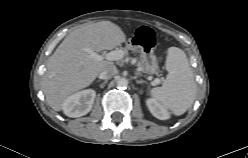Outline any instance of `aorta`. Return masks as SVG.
Returning a JSON list of instances; mask_svg holds the SVG:
<instances>
[{
    "mask_svg": "<svg viewBox=\"0 0 248 158\" xmlns=\"http://www.w3.org/2000/svg\"><path fill=\"white\" fill-rule=\"evenodd\" d=\"M128 85V80L126 79V78H119L118 80H117V86L119 87V88H124V87H126Z\"/></svg>",
    "mask_w": 248,
    "mask_h": 158,
    "instance_id": "obj_1",
    "label": "aorta"
}]
</instances>
